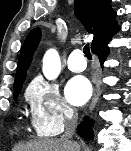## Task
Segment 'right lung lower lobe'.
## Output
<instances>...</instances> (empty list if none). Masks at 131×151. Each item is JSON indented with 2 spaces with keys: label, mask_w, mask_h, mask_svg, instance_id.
I'll list each match as a JSON object with an SVG mask.
<instances>
[{
  "label": "right lung lower lobe",
  "mask_w": 131,
  "mask_h": 151,
  "mask_svg": "<svg viewBox=\"0 0 131 151\" xmlns=\"http://www.w3.org/2000/svg\"><path fill=\"white\" fill-rule=\"evenodd\" d=\"M110 39L111 37L105 42L97 45L95 48L92 49V52L99 57L102 67L109 53V47L107 46V44L110 41ZM92 127H93V121H90L88 117H85L84 121L78 126L77 131L81 137L87 139H93L94 134H93Z\"/></svg>",
  "instance_id": "98d812e1"
}]
</instances>
